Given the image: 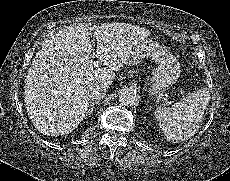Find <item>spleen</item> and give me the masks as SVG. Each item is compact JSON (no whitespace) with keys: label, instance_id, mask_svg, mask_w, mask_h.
Wrapping results in <instances>:
<instances>
[{"label":"spleen","instance_id":"obj_1","mask_svg":"<svg viewBox=\"0 0 230 181\" xmlns=\"http://www.w3.org/2000/svg\"><path fill=\"white\" fill-rule=\"evenodd\" d=\"M207 91L191 93L171 107L158 108L155 117L168 140L190 138L198 129L207 107Z\"/></svg>","mask_w":230,"mask_h":181}]
</instances>
